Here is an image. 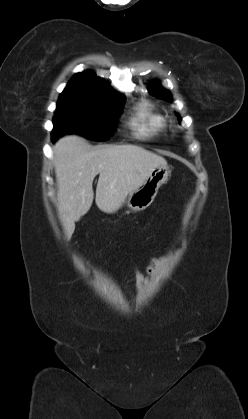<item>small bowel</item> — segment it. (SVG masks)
I'll return each instance as SVG.
<instances>
[{
	"label": "small bowel",
	"instance_id": "small-bowel-1",
	"mask_svg": "<svg viewBox=\"0 0 248 419\" xmlns=\"http://www.w3.org/2000/svg\"><path fill=\"white\" fill-rule=\"evenodd\" d=\"M162 262V259H156L155 261H154V263H153V265H151L150 267H149V273L150 274H152V273H154L155 271H156V268H157V266L160 264ZM136 277H137V280H138V285L139 286H141L144 282H145V280H146V278L144 277V275L141 273V271H139L138 269H136Z\"/></svg>",
	"mask_w": 248,
	"mask_h": 419
}]
</instances>
